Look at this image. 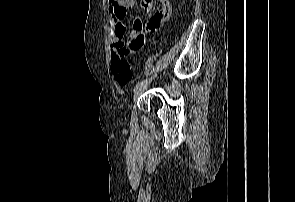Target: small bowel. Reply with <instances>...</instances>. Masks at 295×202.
<instances>
[{"label": "small bowel", "instance_id": "c3829d8e", "mask_svg": "<svg viewBox=\"0 0 295 202\" xmlns=\"http://www.w3.org/2000/svg\"><path fill=\"white\" fill-rule=\"evenodd\" d=\"M135 0H108L109 5V25H110V42H111V59L119 50H127L133 53L141 49L150 33L157 31L171 14V5L168 0H159L161 8L156 11L150 19L143 24L140 20H135L133 30L129 36L128 45L125 46L123 35L125 27L122 20L127 11L133 6ZM153 0H140V8L150 11Z\"/></svg>", "mask_w": 295, "mask_h": 202}]
</instances>
